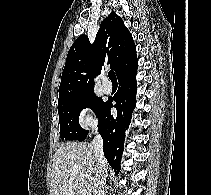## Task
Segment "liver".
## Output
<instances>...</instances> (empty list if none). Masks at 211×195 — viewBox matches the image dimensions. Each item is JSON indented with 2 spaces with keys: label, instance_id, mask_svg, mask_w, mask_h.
<instances>
[{
  "label": "liver",
  "instance_id": "obj_1",
  "mask_svg": "<svg viewBox=\"0 0 211 195\" xmlns=\"http://www.w3.org/2000/svg\"><path fill=\"white\" fill-rule=\"evenodd\" d=\"M108 168V167H107ZM98 164L91 143L61 144L53 157L50 195H94Z\"/></svg>",
  "mask_w": 211,
  "mask_h": 195
}]
</instances>
